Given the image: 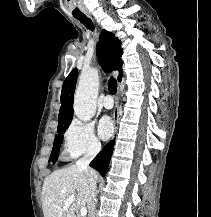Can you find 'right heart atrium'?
<instances>
[{
	"instance_id": "1",
	"label": "right heart atrium",
	"mask_w": 211,
	"mask_h": 217,
	"mask_svg": "<svg viewBox=\"0 0 211 217\" xmlns=\"http://www.w3.org/2000/svg\"><path fill=\"white\" fill-rule=\"evenodd\" d=\"M64 149L71 158L97 154L101 143L93 125L79 119L73 120L64 135Z\"/></svg>"
}]
</instances>
